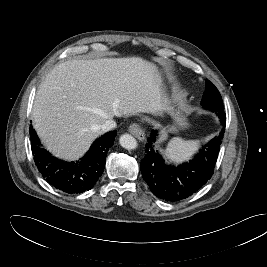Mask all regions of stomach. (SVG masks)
Here are the masks:
<instances>
[{
    "label": "stomach",
    "mask_w": 267,
    "mask_h": 267,
    "mask_svg": "<svg viewBox=\"0 0 267 267\" xmlns=\"http://www.w3.org/2000/svg\"><path fill=\"white\" fill-rule=\"evenodd\" d=\"M164 102H165L164 110L170 113L174 118V125L170 126L168 130L171 132H176L179 129L186 128L188 126L186 117L179 112H175L173 108L169 105V102L165 97H164Z\"/></svg>",
    "instance_id": "stomach-1"
}]
</instances>
